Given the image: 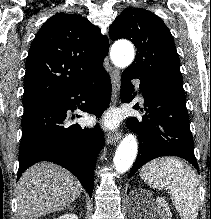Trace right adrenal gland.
Listing matches in <instances>:
<instances>
[{
	"mask_svg": "<svg viewBox=\"0 0 211 219\" xmlns=\"http://www.w3.org/2000/svg\"><path fill=\"white\" fill-rule=\"evenodd\" d=\"M75 206H76V205L70 206V207H68V208L71 209V210H73V209L75 208Z\"/></svg>",
	"mask_w": 211,
	"mask_h": 219,
	"instance_id": "right-adrenal-gland-1",
	"label": "right adrenal gland"
}]
</instances>
